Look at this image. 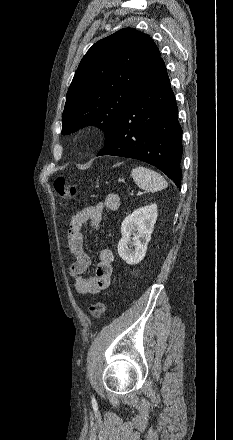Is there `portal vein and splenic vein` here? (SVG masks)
I'll return each instance as SVG.
<instances>
[{
    "label": "portal vein and splenic vein",
    "instance_id": "18ae733b",
    "mask_svg": "<svg viewBox=\"0 0 233 440\" xmlns=\"http://www.w3.org/2000/svg\"><path fill=\"white\" fill-rule=\"evenodd\" d=\"M142 193V191H138V195H141ZM131 195H133V192H131Z\"/></svg>",
    "mask_w": 233,
    "mask_h": 440
}]
</instances>
